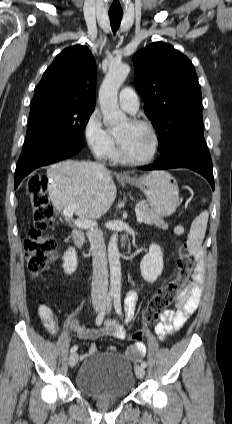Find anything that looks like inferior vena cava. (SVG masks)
<instances>
[{"mask_svg": "<svg viewBox=\"0 0 232 424\" xmlns=\"http://www.w3.org/2000/svg\"><path fill=\"white\" fill-rule=\"evenodd\" d=\"M97 165L103 170L106 169L103 165ZM87 236L90 241L93 265L92 302L103 303L108 294V268L103 233L96 227L89 230Z\"/></svg>", "mask_w": 232, "mask_h": 424, "instance_id": "1", "label": "inferior vena cava"}]
</instances>
